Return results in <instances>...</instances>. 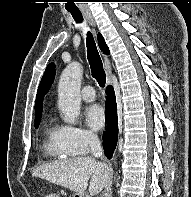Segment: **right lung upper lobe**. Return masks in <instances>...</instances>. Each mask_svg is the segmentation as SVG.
<instances>
[{"label": "right lung upper lobe", "mask_w": 191, "mask_h": 197, "mask_svg": "<svg viewBox=\"0 0 191 197\" xmlns=\"http://www.w3.org/2000/svg\"><path fill=\"white\" fill-rule=\"evenodd\" d=\"M98 45L105 54H109V49L101 34H98ZM55 77V65L53 63L48 64L45 73L41 79L38 87L37 96L35 100V122L40 121L42 113V101L45 94L51 87Z\"/></svg>", "instance_id": "cb5924a9"}]
</instances>
